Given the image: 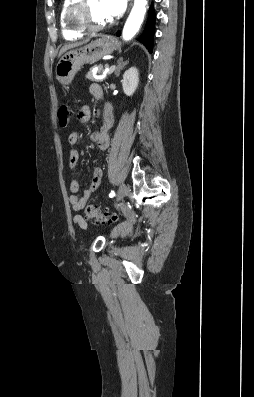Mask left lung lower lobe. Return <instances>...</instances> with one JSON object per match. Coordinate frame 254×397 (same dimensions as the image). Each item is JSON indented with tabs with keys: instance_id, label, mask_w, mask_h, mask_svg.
<instances>
[{
	"instance_id": "0a47b994",
	"label": "left lung lower lobe",
	"mask_w": 254,
	"mask_h": 397,
	"mask_svg": "<svg viewBox=\"0 0 254 397\" xmlns=\"http://www.w3.org/2000/svg\"><path fill=\"white\" fill-rule=\"evenodd\" d=\"M154 21H155L154 11L153 8L151 7L149 10L148 20L145 29L141 37L138 39L141 43H143L146 46V48L149 50L150 53H152V49H153ZM117 36H120V31L117 32Z\"/></svg>"
}]
</instances>
